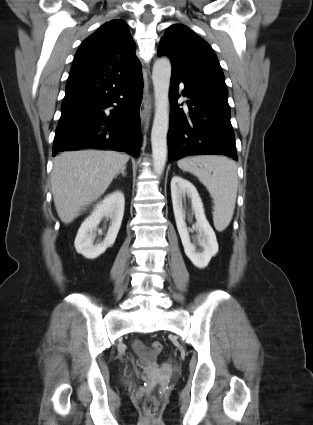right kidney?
I'll use <instances>...</instances> for the list:
<instances>
[{
    "label": "right kidney",
    "instance_id": "obj_1",
    "mask_svg": "<svg viewBox=\"0 0 313 425\" xmlns=\"http://www.w3.org/2000/svg\"><path fill=\"white\" fill-rule=\"evenodd\" d=\"M124 205V194L120 191L108 195L96 205L91 215L81 224L75 238L74 246L79 254L95 259L114 244L122 223ZM103 217L111 220V226L105 239L94 245L95 231Z\"/></svg>",
    "mask_w": 313,
    "mask_h": 425
}]
</instances>
